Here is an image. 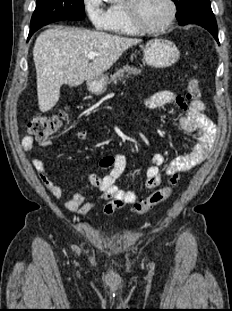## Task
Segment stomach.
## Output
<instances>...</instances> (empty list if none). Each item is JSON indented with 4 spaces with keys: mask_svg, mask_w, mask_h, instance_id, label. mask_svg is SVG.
Returning a JSON list of instances; mask_svg holds the SVG:
<instances>
[{
    "mask_svg": "<svg viewBox=\"0 0 232 311\" xmlns=\"http://www.w3.org/2000/svg\"><path fill=\"white\" fill-rule=\"evenodd\" d=\"M144 60L147 65L155 68H166L174 65L180 52L176 45L166 39H152L143 48ZM108 77L100 75L87 80L88 90L95 95L102 94L107 87Z\"/></svg>",
    "mask_w": 232,
    "mask_h": 311,
    "instance_id": "stomach-1",
    "label": "stomach"
}]
</instances>
